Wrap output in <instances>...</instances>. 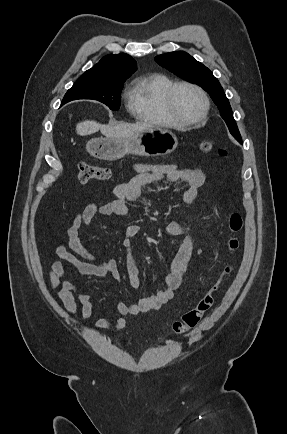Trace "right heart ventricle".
Segmentation results:
<instances>
[{"label": "right heart ventricle", "mask_w": 287, "mask_h": 434, "mask_svg": "<svg viewBox=\"0 0 287 434\" xmlns=\"http://www.w3.org/2000/svg\"><path fill=\"white\" fill-rule=\"evenodd\" d=\"M173 80L154 73L137 77L130 90L129 110L141 121L165 126H179L168 114L165 94Z\"/></svg>", "instance_id": "right-heart-ventricle-1"}]
</instances>
